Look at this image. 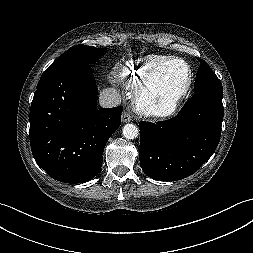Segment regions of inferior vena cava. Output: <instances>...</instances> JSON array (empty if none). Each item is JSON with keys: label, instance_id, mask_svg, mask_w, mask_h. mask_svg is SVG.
Returning a JSON list of instances; mask_svg holds the SVG:
<instances>
[{"label": "inferior vena cava", "instance_id": "inferior-vena-cava-1", "mask_svg": "<svg viewBox=\"0 0 253 253\" xmlns=\"http://www.w3.org/2000/svg\"><path fill=\"white\" fill-rule=\"evenodd\" d=\"M121 103V95L113 88L103 90L99 96V104L104 108L119 106Z\"/></svg>", "mask_w": 253, "mask_h": 253}]
</instances>
